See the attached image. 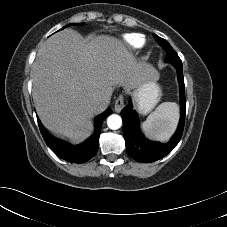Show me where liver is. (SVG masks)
Wrapping results in <instances>:
<instances>
[{
	"label": "liver",
	"instance_id": "1",
	"mask_svg": "<svg viewBox=\"0 0 227 227\" xmlns=\"http://www.w3.org/2000/svg\"><path fill=\"white\" fill-rule=\"evenodd\" d=\"M32 97L46 129L79 143L89 136L94 114L106 109L114 86L133 89L157 71L140 62L117 38L97 36L86 43L65 29L39 49L31 72ZM103 101L96 105L93 97Z\"/></svg>",
	"mask_w": 227,
	"mask_h": 227
}]
</instances>
